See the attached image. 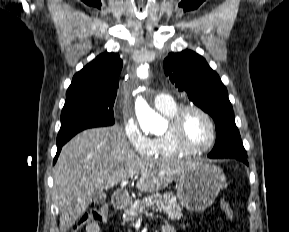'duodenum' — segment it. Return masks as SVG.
<instances>
[{
  "instance_id": "duodenum-1",
  "label": "duodenum",
  "mask_w": 289,
  "mask_h": 232,
  "mask_svg": "<svg viewBox=\"0 0 289 232\" xmlns=\"http://www.w3.org/2000/svg\"><path fill=\"white\" fill-rule=\"evenodd\" d=\"M112 202L116 209L121 210L129 204L130 198L126 191L117 190L113 194Z\"/></svg>"
}]
</instances>
